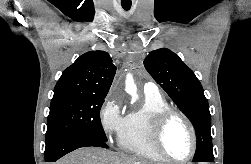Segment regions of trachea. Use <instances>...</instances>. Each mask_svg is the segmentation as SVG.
<instances>
[{
    "mask_svg": "<svg viewBox=\"0 0 251 164\" xmlns=\"http://www.w3.org/2000/svg\"><path fill=\"white\" fill-rule=\"evenodd\" d=\"M124 10L128 11L131 8V3H121Z\"/></svg>",
    "mask_w": 251,
    "mask_h": 164,
    "instance_id": "3493384b",
    "label": "trachea"
}]
</instances>
